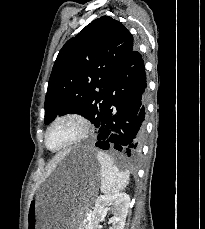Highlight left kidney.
<instances>
[{
  "label": "left kidney",
  "instance_id": "5707ae66",
  "mask_svg": "<svg viewBox=\"0 0 205 229\" xmlns=\"http://www.w3.org/2000/svg\"><path fill=\"white\" fill-rule=\"evenodd\" d=\"M130 205V197L126 193L101 195L97 198L94 210L88 215L86 229H99L100 222L104 219L107 210L113 216L110 218V229H124L126 216Z\"/></svg>",
  "mask_w": 205,
  "mask_h": 229
}]
</instances>
